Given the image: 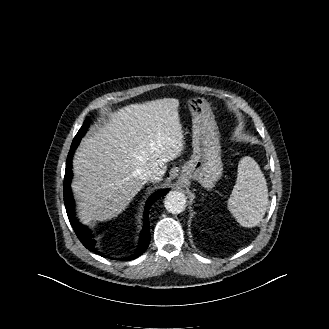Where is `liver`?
Here are the masks:
<instances>
[{"instance_id": "6515ba94", "label": "liver", "mask_w": 329, "mask_h": 329, "mask_svg": "<svg viewBox=\"0 0 329 329\" xmlns=\"http://www.w3.org/2000/svg\"><path fill=\"white\" fill-rule=\"evenodd\" d=\"M178 107L175 98L125 106L81 141L72 190L85 223L125 210L146 183L140 179L144 170H156L162 180L166 163L184 148Z\"/></svg>"}]
</instances>
